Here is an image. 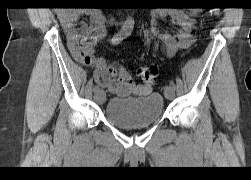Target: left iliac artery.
Returning <instances> with one entry per match:
<instances>
[{
  "mask_svg": "<svg viewBox=\"0 0 251 180\" xmlns=\"http://www.w3.org/2000/svg\"><path fill=\"white\" fill-rule=\"evenodd\" d=\"M170 86H172L173 88H175V83L173 81H170Z\"/></svg>",
  "mask_w": 251,
  "mask_h": 180,
  "instance_id": "44dca946",
  "label": "left iliac artery"
}]
</instances>
